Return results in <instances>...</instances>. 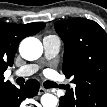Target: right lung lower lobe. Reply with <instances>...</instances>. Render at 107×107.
Listing matches in <instances>:
<instances>
[{"label": "right lung lower lobe", "instance_id": "right-lung-lower-lobe-1", "mask_svg": "<svg viewBox=\"0 0 107 107\" xmlns=\"http://www.w3.org/2000/svg\"><path fill=\"white\" fill-rule=\"evenodd\" d=\"M40 84L37 80H28L20 89L9 81L0 84V107H19L27 97H33L38 93Z\"/></svg>", "mask_w": 107, "mask_h": 107}]
</instances>
